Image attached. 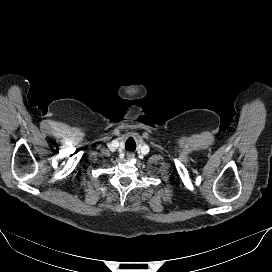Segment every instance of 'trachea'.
<instances>
[{"mask_svg":"<svg viewBox=\"0 0 272 272\" xmlns=\"http://www.w3.org/2000/svg\"><path fill=\"white\" fill-rule=\"evenodd\" d=\"M125 149L127 151H135L136 143L132 137H130L125 143Z\"/></svg>","mask_w":272,"mask_h":272,"instance_id":"obj_1","label":"trachea"}]
</instances>
